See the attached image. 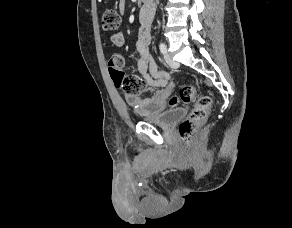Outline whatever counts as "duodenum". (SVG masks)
Instances as JSON below:
<instances>
[{"label":"duodenum","instance_id":"1","mask_svg":"<svg viewBox=\"0 0 292 228\" xmlns=\"http://www.w3.org/2000/svg\"><path fill=\"white\" fill-rule=\"evenodd\" d=\"M145 7H149L152 5L153 0H140Z\"/></svg>","mask_w":292,"mask_h":228}]
</instances>
